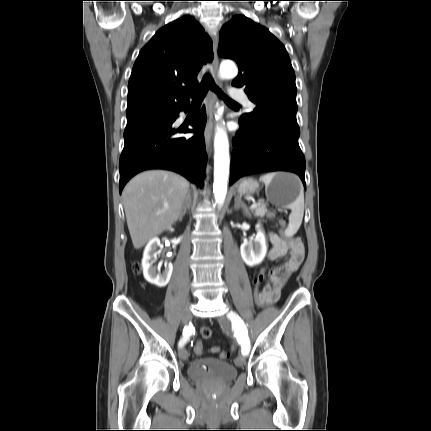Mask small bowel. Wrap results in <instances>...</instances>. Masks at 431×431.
<instances>
[{
    "mask_svg": "<svg viewBox=\"0 0 431 431\" xmlns=\"http://www.w3.org/2000/svg\"><path fill=\"white\" fill-rule=\"evenodd\" d=\"M269 239L272 244V248L268 252L269 260L282 258L288 253L290 255L288 260L283 265L273 268L269 271V280L262 287L260 294L261 299L258 301L259 306L272 304L279 299L285 283L289 277L298 270L305 254L304 245L300 239L287 241L275 233H270ZM217 350V347L212 348V351Z\"/></svg>",
    "mask_w": 431,
    "mask_h": 431,
    "instance_id": "1",
    "label": "small bowel"
}]
</instances>
